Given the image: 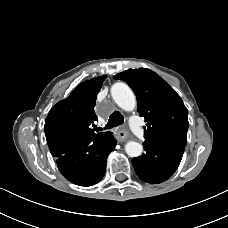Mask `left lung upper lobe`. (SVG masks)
<instances>
[{
    "instance_id": "obj_1",
    "label": "left lung upper lobe",
    "mask_w": 228,
    "mask_h": 228,
    "mask_svg": "<svg viewBox=\"0 0 228 228\" xmlns=\"http://www.w3.org/2000/svg\"><path fill=\"white\" fill-rule=\"evenodd\" d=\"M125 81L137 97V110L145 118L144 138L187 143L188 110L176 91L147 68L128 69L114 76Z\"/></svg>"
}]
</instances>
